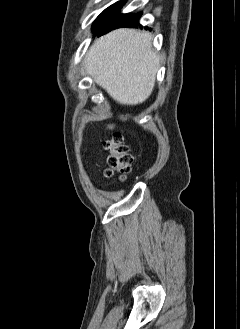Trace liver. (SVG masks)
<instances>
[{
    "label": "liver",
    "mask_w": 240,
    "mask_h": 329,
    "mask_svg": "<svg viewBox=\"0 0 240 329\" xmlns=\"http://www.w3.org/2000/svg\"><path fill=\"white\" fill-rule=\"evenodd\" d=\"M151 42L149 32L114 30L93 43L84 59L85 73L118 103H143L153 91L159 68Z\"/></svg>",
    "instance_id": "6515ba94"
}]
</instances>
